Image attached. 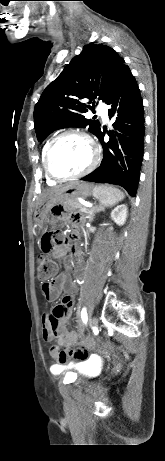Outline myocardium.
<instances>
[{
    "mask_svg": "<svg viewBox=\"0 0 165 461\" xmlns=\"http://www.w3.org/2000/svg\"><path fill=\"white\" fill-rule=\"evenodd\" d=\"M68 136H76V137H79L85 140L91 152V159H90L89 164L86 166V168H84L79 173L74 174V175H69V176H58L51 169L50 158H51L52 152L55 146L57 145V143L61 139L68 137ZM98 161H99V151H98L97 146L93 142L92 138L87 133L82 132L80 130L69 129V130L61 132L60 134H58L56 137H54L50 141V143L48 144L46 148L45 154H44L43 166H44L47 176L50 177L51 179L55 181H67V180L78 179V178H81L89 174L91 171L95 169V167L98 164Z\"/></svg>",
    "mask_w": 165,
    "mask_h": 461,
    "instance_id": "myocardium-1",
    "label": "myocardium"
}]
</instances>
